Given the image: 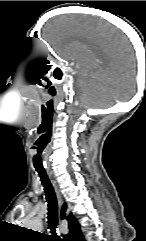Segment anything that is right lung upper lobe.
<instances>
[{"mask_svg":"<svg viewBox=\"0 0 146 241\" xmlns=\"http://www.w3.org/2000/svg\"><path fill=\"white\" fill-rule=\"evenodd\" d=\"M66 204L63 205L61 210V219L66 218L68 221L69 233L63 236L62 241H83V237L80 232V226L72 214L65 217Z\"/></svg>","mask_w":146,"mask_h":241,"instance_id":"1","label":"right lung upper lobe"}]
</instances>
